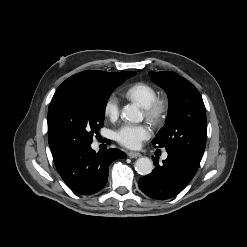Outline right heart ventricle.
I'll return each instance as SVG.
<instances>
[{"mask_svg": "<svg viewBox=\"0 0 247 247\" xmlns=\"http://www.w3.org/2000/svg\"><path fill=\"white\" fill-rule=\"evenodd\" d=\"M158 93L155 87L147 82H136L125 90V96L141 107L148 106Z\"/></svg>", "mask_w": 247, "mask_h": 247, "instance_id": "e07e8e85", "label": "right heart ventricle"}]
</instances>
